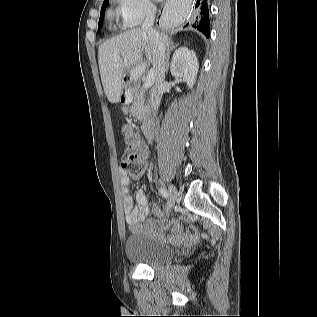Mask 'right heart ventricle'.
<instances>
[{"mask_svg":"<svg viewBox=\"0 0 317 317\" xmlns=\"http://www.w3.org/2000/svg\"><path fill=\"white\" fill-rule=\"evenodd\" d=\"M108 15H109V18H110L111 20H115V21L118 20V17H119V15H120L119 9H118V8H116V9H114V8L110 9L109 12H108Z\"/></svg>","mask_w":317,"mask_h":317,"instance_id":"obj_1","label":"right heart ventricle"}]
</instances>
